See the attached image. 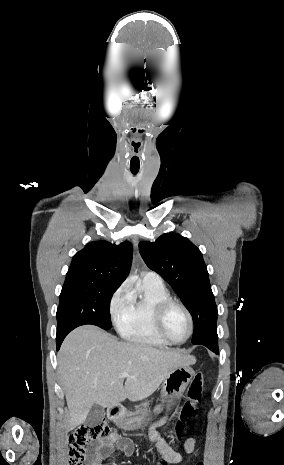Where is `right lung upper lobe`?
<instances>
[{
  "label": "right lung upper lobe",
  "instance_id": "1",
  "mask_svg": "<svg viewBox=\"0 0 284 465\" xmlns=\"http://www.w3.org/2000/svg\"><path fill=\"white\" fill-rule=\"evenodd\" d=\"M132 254L130 242L119 245L107 241L91 242L73 256L66 280H93L119 287L129 273Z\"/></svg>",
  "mask_w": 284,
  "mask_h": 465
}]
</instances>
